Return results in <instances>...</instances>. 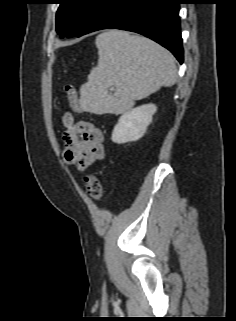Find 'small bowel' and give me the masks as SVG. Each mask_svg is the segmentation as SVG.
Returning <instances> with one entry per match:
<instances>
[{
    "label": "small bowel",
    "mask_w": 236,
    "mask_h": 321,
    "mask_svg": "<svg viewBox=\"0 0 236 321\" xmlns=\"http://www.w3.org/2000/svg\"><path fill=\"white\" fill-rule=\"evenodd\" d=\"M61 123L64 127V161L67 164L85 168L104 158V136L93 123L77 122L69 112L62 115Z\"/></svg>",
    "instance_id": "obj_1"
}]
</instances>
